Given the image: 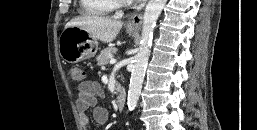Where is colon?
Wrapping results in <instances>:
<instances>
[{
  "label": "colon",
  "mask_w": 257,
  "mask_h": 130,
  "mask_svg": "<svg viewBox=\"0 0 257 130\" xmlns=\"http://www.w3.org/2000/svg\"><path fill=\"white\" fill-rule=\"evenodd\" d=\"M85 71L79 66L69 68V76L74 82H82L85 79Z\"/></svg>",
  "instance_id": "colon-1"
}]
</instances>
